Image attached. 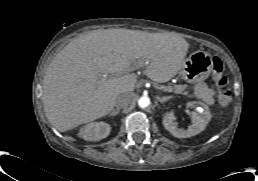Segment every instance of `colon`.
Here are the masks:
<instances>
[{"label":"colon","mask_w":258,"mask_h":181,"mask_svg":"<svg viewBox=\"0 0 258 181\" xmlns=\"http://www.w3.org/2000/svg\"><path fill=\"white\" fill-rule=\"evenodd\" d=\"M213 82L218 91L219 101L223 106L231 102V91L226 87L227 78L223 73V64L218 57L212 59Z\"/></svg>","instance_id":"obj_1"}]
</instances>
